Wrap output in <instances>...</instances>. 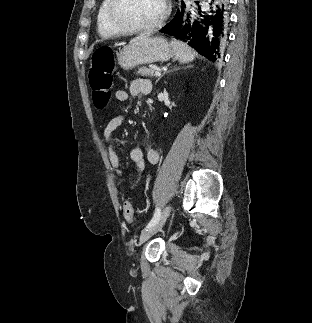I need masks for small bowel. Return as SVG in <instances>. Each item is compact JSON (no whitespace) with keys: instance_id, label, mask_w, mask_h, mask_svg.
Instances as JSON below:
<instances>
[{"instance_id":"small-bowel-1","label":"small bowel","mask_w":312,"mask_h":323,"mask_svg":"<svg viewBox=\"0 0 312 323\" xmlns=\"http://www.w3.org/2000/svg\"><path fill=\"white\" fill-rule=\"evenodd\" d=\"M151 90L152 84L150 80L146 78H137L130 82L128 90H116L114 97L117 102L125 103L128 101L129 96L148 94L151 92ZM128 117V113L111 115L103 130V138L107 144V157L113 169L118 167L121 163L116 150L111 144V138L117 128L121 126L128 119ZM145 157L149 163L156 164L159 161V152L156 148L151 146L147 147L145 153L140 147H135L130 152L131 160L140 171L144 168Z\"/></svg>"}]
</instances>
